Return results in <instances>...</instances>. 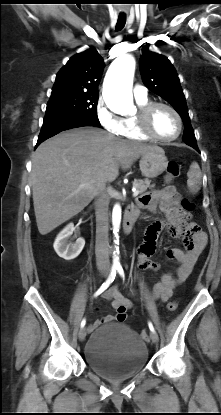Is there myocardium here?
<instances>
[{"mask_svg":"<svg viewBox=\"0 0 221 415\" xmlns=\"http://www.w3.org/2000/svg\"><path fill=\"white\" fill-rule=\"evenodd\" d=\"M157 107H164L168 109L177 119L178 122V130L177 133L169 138L161 137L157 135L154 130L152 129L151 125V118L154 110ZM136 121L139 130L149 139L159 141V142H172L179 138L183 130V120L179 112L170 104L161 102V101H152L148 102L147 104L143 105L139 108V111L136 115Z\"/></svg>","mask_w":221,"mask_h":415,"instance_id":"1","label":"myocardium"}]
</instances>
